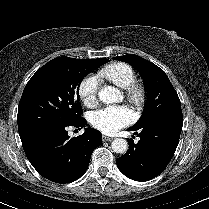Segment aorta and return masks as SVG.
Returning a JSON list of instances; mask_svg holds the SVG:
<instances>
[{
    "label": "aorta",
    "instance_id": "obj_1",
    "mask_svg": "<svg viewBox=\"0 0 209 209\" xmlns=\"http://www.w3.org/2000/svg\"><path fill=\"white\" fill-rule=\"evenodd\" d=\"M99 99L106 104L117 102L121 97V92L112 86L100 89ZM112 150L117 154H124L128 149V142L123 138H115L111 143Z\"/></svg>",
    "mask_w": 209,
    "mask_h": 209
}]
</instances>
